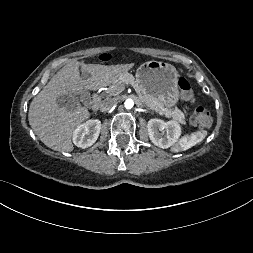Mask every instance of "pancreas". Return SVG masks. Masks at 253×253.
I'll use <instances>...</instances> for the list:
<instances>
[{
  "mask_svg": "<svg viewBox=\"0 0 253 253\" xmlns=\"http://www.w3.org/2000/svg\"><path fill=\"white\" fill-rule=\"evenodd\" d=\"M130 84L138 94L140 100L144 103V105L160 115H165L168 118H172L175 121H178L181 124H185V115L184 113L178 109H171L165 106L160 100L155 99L148 94L144 93L138 84L136 83L132 74L126 73L122 75L118 81L114 82L107 90V95L109 96H117L119 95L125 88V85Z\"/></svg>",
  "mask_w": 253,
  "mask_h": 253,
  "instance_id": "1",
  "label": "pancreas"
}]
</instances>
